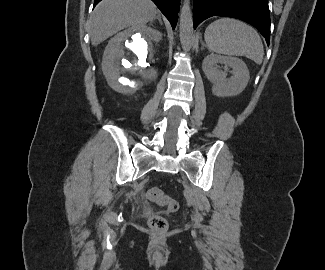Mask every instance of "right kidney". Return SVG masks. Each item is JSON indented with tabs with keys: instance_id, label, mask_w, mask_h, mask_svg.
<instances>
[{
	"instance_id": "right-kidney-1",
	"label": "right kidney",
	"mask_w": 325,
	"mask_h": 270,
	"mask_svg": "<svg viewBox=\"0 0 325 270\" xmlns=\"http://www.w3.org/2000/svg\"><path fill=\"white\" fill-rule=\"evenodd\" d=\"M161 38L159 31L147 26L131 27L113 37L102 59V71L108 84L119 93L133 94L149 83L156 75L155 67L151 66L155 63L154 43Z\"/></svg>"
}]
</instances>
